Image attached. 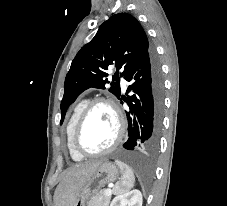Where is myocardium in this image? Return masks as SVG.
<instances>
[{
	"label": "myocardium",
	"mask_w": 227,
	"mask_h": 206,
	"mask_svg": "<svg viewBox=\"0 0 227 206\" xmlns=\"http://www.w3.org/2000/svg\"><path fill=\"white\" fill-rule=\"evenodd\" d=\"M98 105H107L112 109L117 122V135L112 144L107 148L98 152H89L82 148V146L80 145L79 136L89 113L92 111L93 108H95ZM124 135H125V119L118 104L109 97H97L89 101L82 110V112L80 113L72 133V147L78 154L82 155L83 157L102 156L113 151L122 142Z\"/></svg>",
	"instance_id": "obj_1"
}]
</instances>
